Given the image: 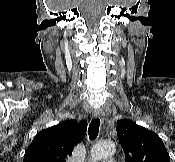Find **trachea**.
Masks as SVG:
<instances>
[{
	"mask_svg": "<svg viewBox=\"0 0 175 162\" xmlns=\"http://www.w3.org/2000/svg\"><path fill=\"white\" fill-rule=\"evenodd\" d=\"M100 127V119L96 118L91 121L88 128L89 139L94 140L98 136Z\"/></svg>",
	"mask_w": 175,
	"mask_h": 162,
	"instance_id": "3493384b",
	"label": "trachea"
}]
</instances>
